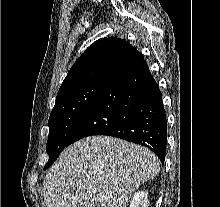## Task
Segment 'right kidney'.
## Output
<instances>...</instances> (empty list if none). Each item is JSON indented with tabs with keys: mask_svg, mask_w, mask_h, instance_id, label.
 <instances>
[{
	"mask_svg": "<svg viewBox=\"0 0 220 207\" xmlns=\"http://www.w3.org/2000/svg\"><path fill=\"white\" fill-rule=\"evenodd\" d=\"M148 205V192L143 190L134 193L129 207H148Z\"/></svg>",
	"mask_w": 220,
	"mask_h": 207,
	"instance_id": "1",
	"label": "right kidney"
}]
</instances>
